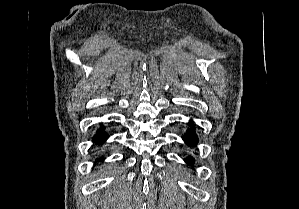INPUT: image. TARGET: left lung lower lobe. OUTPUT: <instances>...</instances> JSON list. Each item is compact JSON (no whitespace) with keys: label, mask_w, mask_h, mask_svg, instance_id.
Wrapping results in <instances>:
<instances>
[{"label":"left lung lower lobe","mask_w":299,"mask_h":209,"mask_svg":"<svg viewBox=\"0 0 299 209\" xmlns=\"http://www.w3.org/2000/svg\"><path fill=\"white\" fill-rule=\"evenodd\" d=\"M191 124H193V122H191ZM183 140L189 145H194L198 142V137L196 136L195 134V131L194 129H189L186 133V135L183 137ZM185 162L188 164V165H193L194 164V160L192 157H188L185 159Z\"/></svg>","instance_id":"obj_1"}]
</instances>
